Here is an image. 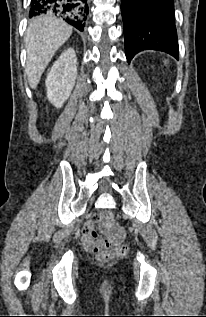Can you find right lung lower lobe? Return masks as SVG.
<instances>
[{
	"label": "right lung lower lobe",
	"mask_w": 206,
	"mask_h": 317,
	"mask_svg": "<svg viewBox=\"0 0 206 317\" xmlns=\"http://www.w3.org/2000/svg\"><path fill=\"white\" fill-rule=\"evenodd\" d=\"M87 0H31L29 17L54 13L83 32L88 15Z\"/></svg>",
	"instance_id": "98d812e1"
}]
</instances>
